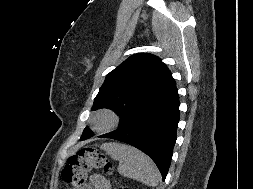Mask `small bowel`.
I'll return each mask as SVG.
<instances>
[{"label": "small bowel", "mask_w": 253, "mask_h": 189, "mask_svg": "<svg viewBox=\"0 0 253 189\" xmlns=\"http://www.w3.org/2000/svg\"><path fill=\"white\" fill-rule=\"evenodd\" d=\"M84 189H111V184L104 176L94 174L91 176L89 184Z\"/></svg>", "instance_id": "obj_1"}]
</instances>
